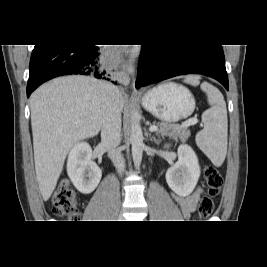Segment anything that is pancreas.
<instances>
[{
	"instance_id": "obj_1",
	"label": "pancreas",
	"mask_w": 267,
	"mask_h": 267,
	"mask_svg": "<svg viewBox=\"0 0 267 267\" xmlns=\"http://www.w3.org/2000/svg\"><path fill=\"white\" fill-rule=\"evenodd\" d=\"M157 135L159 136H168L169 138L178 141V139L182 142H185L189 136L190 131L186 127H180L178 125H171L165 122L157 123Z\"/></svg>"
}]
</instances>
